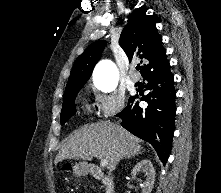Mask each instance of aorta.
Instances as JSON below:
<instances>
[{
  "mask_svg": "<svg viewBox=\"0 0 221 193\" xmlns=\"http://www.w3.org/2000/svg\"><path fill=\"white\" fill-rule=\"evenodd\" d=\"M97 87L104 91H113L117 85L118 71L115 64L110 60L101 61L95 69Z\"/></svg>",
  "mask_w": 221,
  "mask_h": 193,
  "instance_id": "762f6f07",
  "label": "aorta"
}]
</instances>
